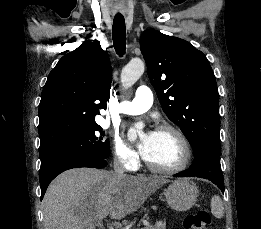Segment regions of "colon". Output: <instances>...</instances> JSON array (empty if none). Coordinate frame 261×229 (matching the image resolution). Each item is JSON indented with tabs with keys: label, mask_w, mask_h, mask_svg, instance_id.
Listing matches in <instances>:
<instances>
[{
	"label": "colon",
	"mask_w": 261,
	"mask_h": 229,
	"mask_svg": "<svg viewBox=\"0 0 261 229\" xmlns=\"http://www.w3.org/2000/svg\"><path fill=\"white\" fill-rule=\"evenodd\" d=\"M212 218L207 210L189 213L184 220V229H210Z\"/></svg>",
	"instance_id": "1"
}]
</instances>
